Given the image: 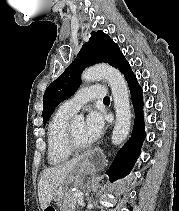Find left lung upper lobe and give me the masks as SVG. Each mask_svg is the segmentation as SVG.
<instances>
[{"mask_svg":"<svg viewBox=\"0 0 179 211\" xmlns=\"http://www.w3.org/2000/svg\"><path fill=\"white\" fill-rule=\"evenodd\" d=\"M124 58L118 45L110 39L109 35L99 30L91 32L73 63L46 89L43 96V121L47 123L55 107L65 99L72 96L78 89L82 71L96 63H108L117 67Z\"/></svg>","mask_w":179,"mask_h":211,"instance_id":"5c2ea615","label":"left lung upper lobe"}]
</instances>
